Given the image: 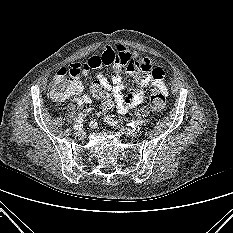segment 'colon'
Returning <instances> with one entry per match:
<instances>
[{"mask_svg": "<svg viewBox=\"0 0 233 233\" xmlns=\"http://www.w3.org/2000/svg\"><path fill=\"white\" fill-rule=\"evenodd\" d=\"M69 82L66 72L57 73L50 84L48 90L49 97L58 102L65 100L69 95ZM89 91L93 98L100 100L102 111H109L114 107L109 91L98 81L90 85ZM150 106L154 111H163L166 107L165 94L155 88L150 95Z\"/></svg>", "mask_w": 233, "mask_h": 233, "instance_id": "1", "label": "colon"}]
</instances>
